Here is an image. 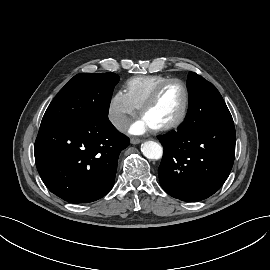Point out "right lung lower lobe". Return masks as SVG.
I'll use <instances>...</instances> for the list:
<instances>
[{
	"label": "right lung lower lobe",
	"mask_w": 270,
	"mask_h": 270,
	"mask_svg": "<svg viewBox=\"0 0 270 270\" xmlns=\"http://www.w3.org/2000/svg\"><path fill=\"white\" fill-rule=\"evenodd\" d=\"M129 142L108 117L44 123L34 145L37 170L56 196L74 204L92 202L112 189L119 154Z\"/></svg>",
	"instance_id": "right-lung-lower-lobe-1"
}]
</instances>
